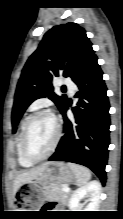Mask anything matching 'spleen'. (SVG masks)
Wrapping results in <instances>:
<instances>
[{
	"mask_svg": "<svg viewBox=\"0 0 123 219\" xmlns=\"http://www.w3.org/2000/svg\"><path fill=\"white\" fill-rule=\"evenodd\" d=\"M68 166L73 171L79 186L86 184L91 179V172L88 168L73 163H68Z\"/></svg>",
	"mask_w": 123,
	"mask_h": 219,
	"instance_id": "spleen-1",
	"label": "spleen"
}]
</instances>
